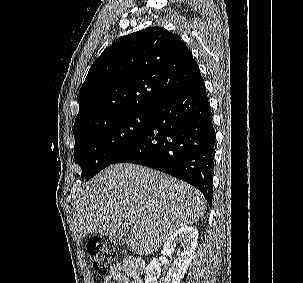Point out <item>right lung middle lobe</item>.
<instances>
[{
    "label": "right lung middle lobe",
    "mask_w": 303,
    "mask_h": 283,
    "mask_svg": "<svg viewBox=\"0 0 303 283\" xmlns=\"http://www.w3.org/2000/svg\"><path fill=\"white\" fill-rule=\"evenodd\" d=\"M152 111H132L74 133L75 161L91 179L128 150L147 130Z\"/></svg>",
    "instance_id": "right-lung-middle-lobe-1"
}]
</instances>
